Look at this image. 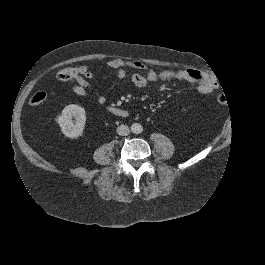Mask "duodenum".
I'll list each match as a JSON object with an SVG mask.
<instances>
[{
    "label": "duodenum",
    "instance_id": "410a0bca",
    "mask_svg": "<svg viewBox=\"0 0 265 265\" xmlns=\"http://www.w3.org/2000/svg\"><path fill=\"white\" fill-rule=\"evenodd\" d=\"M110 111L114 113L115 115L125 117L128 115V112L119 108L111 107Z\"/></svg>",
    "mask_w": 265,
    "mask_h": 265
}]
</instances>
